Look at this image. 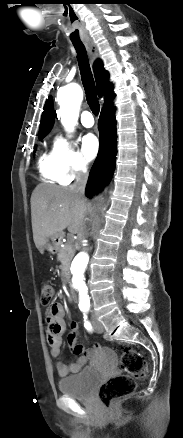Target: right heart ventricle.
<instances>
[{"label": "right heart ventricle", "mask_w": 183, "mask_h": 438, "mask_svg": "<svg viewBox=\"0 0 183 438\" xmlns=\"http://www.w3.org/2000/svg\"><path fill=\"white\" fill-rule=\"evenodd\" d=\"M39 169L44 177L51 181H58L54 168V151L43 153L39 159Z\"/></svg>", "instance_id": "e07e8e85"}]
</instances>
